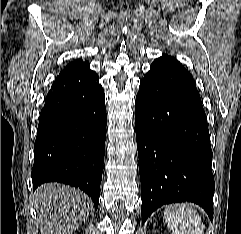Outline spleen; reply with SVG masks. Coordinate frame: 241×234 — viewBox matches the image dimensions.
Wrapping results in <instances>:
<instances>
[{
  "label": "spleen",
  "instance_id": "1",
  "mask_svg": "<svg viewBox=\"0 0 241 234\" xmlns=\"http://www.w3.org/2000/svg\"><path fill=\"white\" fill-rule=\"evenodd\" d=\"M164 219L172 234H204L201 216L186 203L165 207Z\"/></svg>",
  "mask_w": 241,
  "mask_h": 234
}]
</instances>
